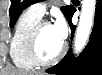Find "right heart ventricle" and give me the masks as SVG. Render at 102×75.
<instances>
[{
  "label": "right heart ventricle",
  "mask_w": 102,
  "mask_h": 75,
  "mask_svg": "<svg viewBox=\"0 0 102 75\" xmlns=\"http://www.w3.org/2000/svg\"><path fill=\"white\" fill-rule=\"evenodd\" d=\"M40 19V16L28 9L22 12L17 20L10 41V55L17 67L30 69L35 66L27 52V41L32 29Z\"/></svg>",
  "instance_id": "1"
}]
</instances>
